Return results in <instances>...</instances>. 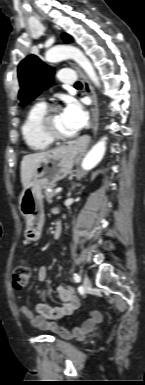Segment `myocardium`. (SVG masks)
I'll return each instance as SVG.
<instances>
[{"label":"myocardium","mask_w":145,"mask_h":385,"mask_svg":"<svg viewBox=\"0 0 145 385\" xmlns=\"http://www.w3.org/2000/svg\"><path fill=\"white\" fill-rule=\"evenodd\" d=\"M60 110L59 106H52L46 109L45 113L42 115L39 128L42 134L49 139L50 141H67L75 137V133L72 135H60L57 134L52 128V119L56 112Z\"/></svg>","instance_id":"myocardium-1"}]
</instances>
